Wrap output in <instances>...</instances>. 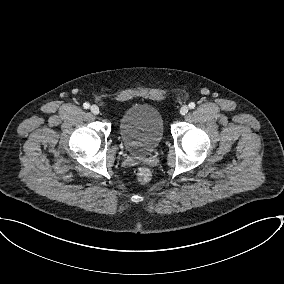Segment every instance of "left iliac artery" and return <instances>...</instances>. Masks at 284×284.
<instances>
[{"label":"left iliac artery","mask_w":284,"mask_h":284,"mask_svg":"<svg viewBox=\"0 0 284 284\" xmlns=\"http://www.w3.org/2000/svg\"><path fill=\"white\" fill-rule=\"evenodd\" d=\"M189 108L190 109H194L195 108V103L194 102L189 103Z\"/></svg>","instance_id":"1"}]
</instances>
